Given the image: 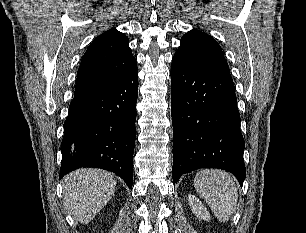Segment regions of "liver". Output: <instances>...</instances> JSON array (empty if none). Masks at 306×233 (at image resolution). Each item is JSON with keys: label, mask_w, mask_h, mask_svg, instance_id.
Instances as JSON below:
<instances>
[{"label": "liver", "mask_w": 306, "mask_h": 233, "mask_svg": "<svg viewBox=\"0 0 306 233\" xmlns=\"http://www.w3.org/2000/svg\"><path fill=\"white\" fill-rule=\"evenodd\" d=\"M115 176L99 169H79L64 178V198L70 213L88 224L112 198Z\"/></svg>", "instance_id": "obj_1"}]
</instances>
